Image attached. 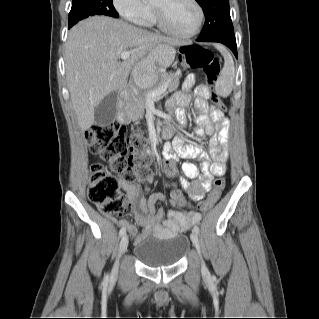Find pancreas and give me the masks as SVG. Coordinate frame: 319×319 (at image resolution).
Segmentation results:
<instances>
[{
    "mask_svg": "<svg viewBox=\"0 0 319 319\" xmlns=\"http://www.w3.org/2000/svg\"><path fill=\"white\" fill-rule=\"evenodd\" d=\"M181 71L169 72L162 74L158 81L151 87L147 92H139L138 94H133L132 99L126 105V114L129 121L138 122L143 119L145 109L147 106V94L150 91L158 89L164 85H167V89L164 94H168L176 90L179 86ZM155 100L157 97L154 98Z\"/></svg>",
    "mask_w": 319,
    "mask_h": 319,
    "instance_id": "cf45deb5",
    "label": "pancreas"
}]
</instances>
